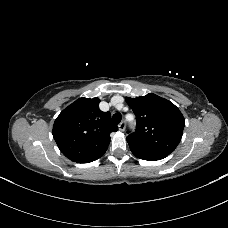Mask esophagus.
Instances as JSON below:
<instances>
[{"label":"esophagus","mask_w":228,"mask_h":228,"mask_svg":"<svg viewBox=\"0 0 228 228\" xmlns=\"http://www.w3.org/2000/svg\"><path fill=\"white\" fill-rule=\"evenodd\" d=\"M118 128L120 131H125V128H126V122L125 121H122L119 125H118Z\"/></svg>","instance_id":"esophagus-1"}]
</instances>
